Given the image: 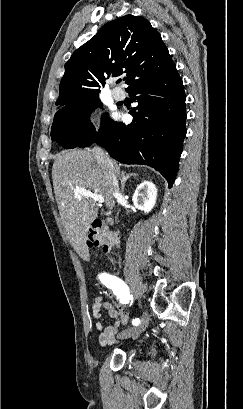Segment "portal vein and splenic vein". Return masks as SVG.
I'll return each instance as SVG.
<instances>
[{
	"instance_id": "obj_1",
	"label": "portal vein and splenic vein",
	"mask_w": 243,
	"mask_h": 409,
	"mask_svg": "<svg viewBox=\"0 0 243 409\" xmlns=\"http://www.w3.org/2000/svg\"><path fill=\"white\" fill-rule=\"evenodd\" d=\"M74 194L77 197L83 196V197H86V198H90V199H92V200H94L95 202H98V203H103L104 202V197L102 195L94 194L93 192H91V191H89V190H87L85 188H82V187H77L74 190Z\"/></svg>"
}]
</instances>
